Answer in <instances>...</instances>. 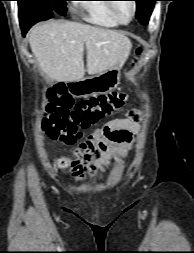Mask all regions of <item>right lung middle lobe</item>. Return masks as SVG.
Listing matches in <instances>:
<instances>
[{"mask_svg": "<svg viewBox=\"0 0 194 253\" xmlns=\"http://www.w3.org/2000/svg\"><path fill=\"white\" fill-rule=\"evenodd\" d=\"M18 1L19 19L36 23L44 17L55 14L65 15L68 0H16Z\"/></svg>", "mask_w": 194, "mask_h": 253, "instance_id": "1", "label": "right lung middle lobe"}]
</instances>
